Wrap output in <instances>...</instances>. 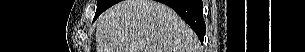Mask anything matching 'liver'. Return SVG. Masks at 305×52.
Here are the masks:
<instances>
[{
	"label": "liver",
	"mask_w": 305,
	"mask_h": 52,
	"mask_svg": "<svg viewBox=\"0 0 305 52\" xmlns=\"http://www.w3.org/2000/svg\"><path fill=\"white\" fill-rule=\"evenodd\" d=\"M97 52H198L190 27L170 7L153 0H124L99 17Z\"/></svg>",
	"instance_id": "1"
}]
</instances>
